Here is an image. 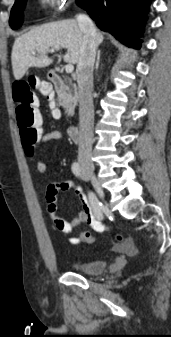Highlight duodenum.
I'll use <instances>...</instances> for the list:
<instances>
[{"label":"duodenum","mask_w":171,"mask_h":337,"mask_svg":"<svg viewBox=\"0 0 171 337\" xmlns=\"http://www.w3.org/2000/svg\"><path fill=\"white\" fill-rule=\"evenodd\" d=\"M48 78L51 81L52 85L55 87L56 90L62 89L64 86L66 79L64 76L60 75L57 72L51 71L48 73ZM69 136L74 141H80V130L76 125H70L67 129Z\"/></svg>","instance_id":"duodenum-1"}]
</instances>
